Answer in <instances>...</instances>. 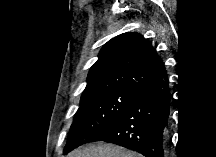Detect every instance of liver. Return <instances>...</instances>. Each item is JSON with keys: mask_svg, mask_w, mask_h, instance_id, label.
I'll list each match as a JSON object with an SVG mask.
<instances>
[{"mask_svg": "<svg viewBox=\"0 0 216 157\" xmlns=\"http://www.w3.org/2000/svg\"><path fill=\"white\" fill-rule=\"evenodd\" d=\"M69 157H140L136 152L112 144L89 145L69 154Z\"/></svg>", "mask_w": 216, "mask_h": 157, "instance_id": "obj_1", "label": "liver"}]
</instances>
